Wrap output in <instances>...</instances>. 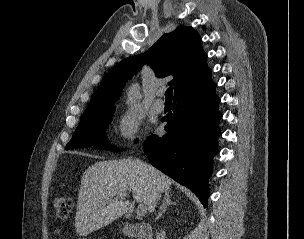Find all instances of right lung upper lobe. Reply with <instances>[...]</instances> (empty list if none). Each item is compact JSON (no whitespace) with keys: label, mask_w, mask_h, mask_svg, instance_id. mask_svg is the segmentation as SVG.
<instances>
[{"label":"right lung upper lobe","mask_w":304,"mask_h":239,"mask_svg":"<svg viewBox=\"0 0 304 239\" xmlns=\"http://www.w3.org/2000/svg\"><path fill=\"white\" fill-rule=\"evenodd\" d=\"M206 58L198 33L192 27L179 26L163 35L147 52L119 62L106 75L82 117L113 106L126 82L144 63L151 66L157 77L174 75L169 84L174 85L176 93L211 71Z\"/></svg>","instance_id":"cb5924a9"}]
</instances>
